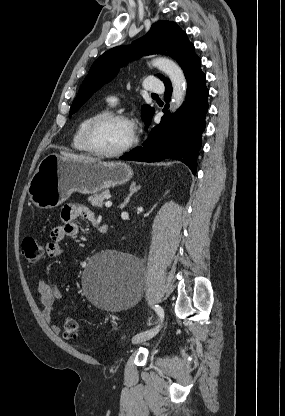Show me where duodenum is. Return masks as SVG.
<instances>
[{"instance_id": "obj_1", "label": "duodenum", "mask_w": 285, "mask_h": 416, "mask_svg": "<svg viewBox=\"0 0 285 416\" xmlns=\"http://www.w3.org/2000/svg\"><path fill=\"white\" fill-rule=\"evenodd\" d=\"M98 228H99V231L103 234L107 233V231H108L107 228L103 225H98Z\"/></svg>"}]
</instances>
